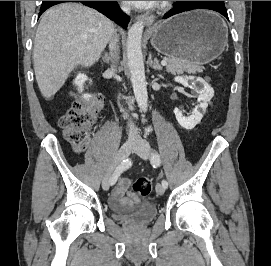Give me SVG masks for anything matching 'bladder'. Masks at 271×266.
<instances>
[{"mask_svg": "<svg viewBox=\"0 0 271 266\" xmlns=\"http://www.w3.org/2000/svg\"><path fill=\"white\" fill-rule=\"evenodd\" d=\"M117 209V208H116ZM117 219L137 226H144L151 222L157 215V208L151 203H144L129 213L119 215L113 210Z\"/></svg>", "mask_w": 271, "mask_h": 266, "instance_id": "1", "label": "bladder"}]
</instances>
